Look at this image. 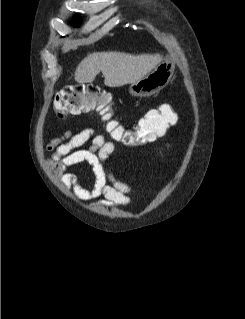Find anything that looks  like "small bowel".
Listing matches in <instances>:
<instances>
[{
    "instance_id": "obj_1",
    "label": "small bowel",
    "mask_w": 245,
    "mask_h": 319,
    "mask_svg": "<svg viewBox=\"0 0 245 319\" xmlns=\"http://www.w3.org/2000/svg\"><path fill=\"white\" fill-rule=\"evenodd\" d=\"M169 107L163 105L160 108ZM88 142V148H82ZM46 149L52 154L47 163L68 189H74L76 195L83 200L104 197L100 205L105 207L125 206L130 203V187L119 180L105 166L106 160L114 152L115 145L106 139L104 134H96L92 128L77 133L65 131L61 136L52 139ZM79 164L91 166L95 181L92 189L84 188L76 174L67 169Z\"/></svg>"
}]
</instances>
